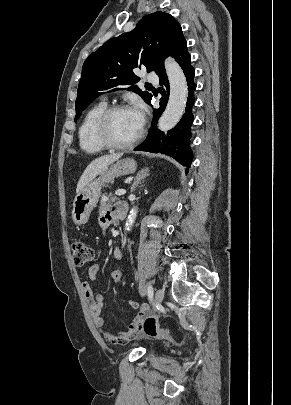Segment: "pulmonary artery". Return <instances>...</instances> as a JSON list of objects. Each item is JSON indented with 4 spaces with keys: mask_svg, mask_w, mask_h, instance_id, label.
Instances as JSON below:
<instances>
[{
    "mask_svg": "<svg viewBox=\"0 0 291 405\" xmlns=\"http://www.w3.org/2000/svg\"><path fill=\"white\" fill-rule=\"evenodd\" d=\"M146 79H147V81H149V82H153V83H157V82H158V76H157L155 73H153V72L148 73V74L146 75Z\"/></svg>",
    "mask_w": 291,
    "mask_h": 405,
    "instance_id": "1",
    "label": "pulmonary artery"
}]
</instances>
